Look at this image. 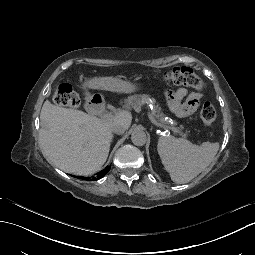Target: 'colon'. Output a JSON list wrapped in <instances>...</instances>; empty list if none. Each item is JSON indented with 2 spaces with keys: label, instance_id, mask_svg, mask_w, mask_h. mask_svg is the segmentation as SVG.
<instances>
[{
  "label": "colon",
  "instance_id": "obj_1",
  "mask_svg": "<svg viewBox=\"0 0 255 255\" xmlns=\"http://www.w3.org/2000/svg\"><path fill=\"white\" fill-rule=\"evenodd\" d=\"M166 81L176 85L189 86L198 92H202L206 84L197 76L192 69L188 67H175L164 74ZM53 99L56 104L76 108L80 105L78 95L67 84L60 85L54 92ZM200 118L207 127H212L216 120V111L214 106L206 102L200 111Z\"/></svg>",
  "mask_w": 255,
  "mask_h": 255
}]
</instances>
